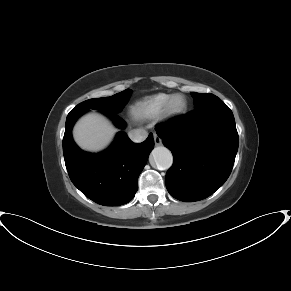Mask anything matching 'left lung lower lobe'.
I'll return each mask as SVG.
<instances>
[{
    "label": "left lung lower lobe",
    "mask_w": 291,
    "mask_h": 291,
    "mask_svg": "<svg viewBox=\"0 0 291 291\" xmlns=\"http://www.w3.org/2000/svg\"><path fill=\"white\" fill-rule=\"evenodd\" d=\"M156 132L174 157L166 174V187L174 198L202 200L229 177L238 150V133L233 113L224 102L159 124Z\"/></svg>",
    "instance_id": "0a47b994"
}]
</instances>
